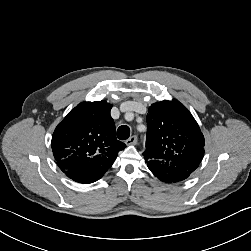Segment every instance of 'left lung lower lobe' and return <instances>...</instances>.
<instances>
[{"instance_id": "obj_1", "label": "left lung lower lobe", "mask_w": 251, "mask_h": 251, "mask_svg": "<svg viewBox=\"0 0 251 251\" xmlns=\"http://www.w3.org/2000/svg\"><path fill=\"white\" fill-rule=\"evenodd\" d=\"M145 162L150 171L161 181L166 183H175L189 177V175L198 167L194 164L172 165L167 162L154 158L150 155L143 154Z\"/></svg>"}]
</instances>
